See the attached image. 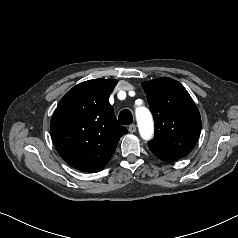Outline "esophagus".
I'll return each mask as SVG.
<instances>
[{
    "label": "esophagus",
    "mask_w": 238,
    "mask_h": 238,
    "mask_svg": "<svg viewBox=\"0 0 238 238\" xmlns=\"http://www.w3.org/2000/svg\"><path fill=\"white\" fill-rule=\"evenodd\" d=\"M128 130L130 133H135L137 128H136V125L134 124H131L129 127H128Z\"/></svg>",
    "instance_id": "1"
}]
</instances>
